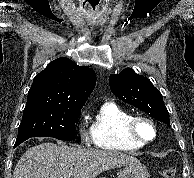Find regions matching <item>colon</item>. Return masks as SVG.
Instances as JSON below:
<instances>
[{"mask_svg":"<svg viewBox=\"0 0 194 178\" xmlns=\"http://www.w3.org/2000/svg\"><path fill=\"white\" fill-rule=\"evenodd\" d=\"M162 178H175L176 170L173 167H166L160 171Z\"/></svg>","mask_w":194,"mask_h":178,"instance_id":"obj_1","label":"colon"}]
</instances>
